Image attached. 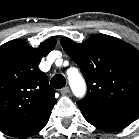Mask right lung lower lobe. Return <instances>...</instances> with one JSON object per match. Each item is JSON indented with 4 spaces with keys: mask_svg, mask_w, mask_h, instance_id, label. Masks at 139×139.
<instances>
[{
    "mask_svg": "<svg viewBox=\"0 0 139 139\" xmlns=\"http://www.w3.org/2000/svg\"><path fill=\"white\" fill-rule=\"evenodd\" d=\"M49 116H47L45 119H43L41 122H39L38 124H36L35 126L25 130L24 132L17 134L16 137L18 138H27L30 137L36 133H38L48 122L49 120Z\"/></svg>",
    "mask_w": 139,
    "mask_h": 139,
    "instance_id": "right-lung-lower-lobe-1",
    "label": "right lung lower lobe"
}]
</instances>
